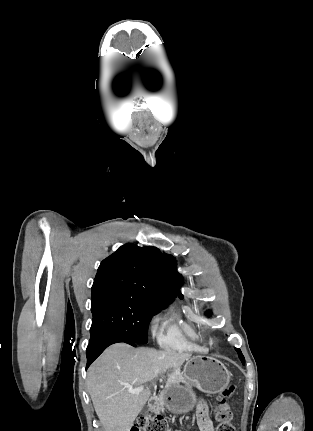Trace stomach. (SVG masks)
Masks as SVG:
<instances>
[{
  "label": "stomach",
  "mask_w": 313,
  "mask_h": 431,
  "mask_svg": "<svg viewBox=\"0 0 313 431\" xmlns=\"http://www.w3.org/2000/svg\"><path fill=\"white\" fill-rule=\"evenodd\" d=\"M182 375L187 385L182 386L175 379H170L162 395L167 408L176 413L193 408L196 399L192 387L208 394H216L222 392L231 379L229 370L222 362L203 355L190 357Z\"/></svg>",
  "instance_id": "1"
}]
</instances>
